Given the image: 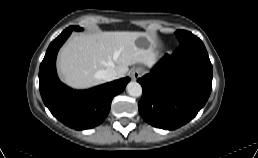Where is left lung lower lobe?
<instances>
[{"instance_id": "obj_1", "label": "left lung lower lobe", "mask_w": 258, "mask_h": 158, "mask_svg": "<svg viewBox=\"0 0 258 158\" xmlns=\"http://www.w3.org/2000/svg\"><path fill=\"white\" fill-rule=\"evenodd\" d=\"M142 118L156 128L177 129L194 118L212 89V64L203 42L193 36L137 80Z\"/></svg>"}]
</instances>
